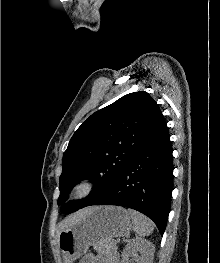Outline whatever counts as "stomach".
Masks as SVG:
<instances>
[{
    "label": "stomach",
    "instance_id": "0dacf381",
    "mask_svg": "<svg viewBox=\"0 0 220 263\" xmlns=\"http://www.w3.org/2000/svg\"><path fill=\"white\" fill-rule=\"evenodd\" d=\"M131 227V217L125 208L93 207L77 222L60 232L58 245L64 263H74L87 252L89 246L100 249L113 238L125 236Z\"/></svg>",
    "mask_w": 220,
    "mask_h": 263
}]
</instances>
